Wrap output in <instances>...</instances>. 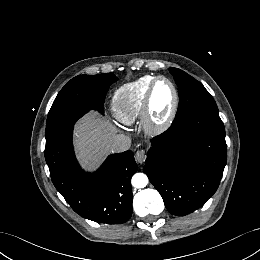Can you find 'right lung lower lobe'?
I'll return each mask as SVG.
<instances>
[{
  "label": "right lung lower lobe",
  "mask_w": 260,
  "mask_h": 260,
  "mask_svg": "<svg viewBox=\"0 0 260 260\" xmlns=\"http://www.w3.org/2000/svg\"><path fill=\"white\" fill-rule=\"evenodd\" d=\"M72 131L70 126L45 148L53 184L80 216L98 223L126 222L132 214L130 181L138 169L133 152L110 155L96 173L86 174L75 159Z\"/></svg>",
  "instance_id": "right-lung-lower-lobe-1"
}]
</instances>
